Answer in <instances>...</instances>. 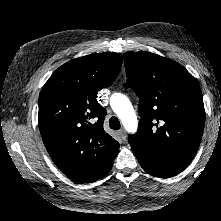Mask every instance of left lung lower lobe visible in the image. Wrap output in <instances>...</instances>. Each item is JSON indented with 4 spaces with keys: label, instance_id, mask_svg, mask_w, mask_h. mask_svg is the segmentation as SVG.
<instances>
[{
    "label": "left lung lower lobe",
    "instance_id": "obj_1",
    "mask_svg": "<svg viewBox=\"0 0 221 221\" xmlns=\"http://www.w3.org/2000/svg\"><path fill=\"white\" fill-rule=\"evenodd\" d=\"M141 167L155 177L169 178L182 172L189 163L172 157L150 151L138 150L131 147Z\"/></svg>",
    "mask_w": 221,
    "mask_h": 221
}]
</instances>
